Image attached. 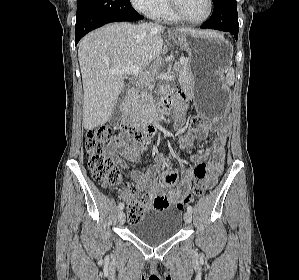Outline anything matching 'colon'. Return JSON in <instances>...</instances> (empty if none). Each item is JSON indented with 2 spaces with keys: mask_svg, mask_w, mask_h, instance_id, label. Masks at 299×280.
<instances>
[{
  "mask_svg": "<svg viewBox=\"0 0 299 280\" xmlns=\"http://www.w3.org/2000/svg\"><path fill=\"white\" fill-rule=\"evenodd\" d=\"M204 120L200 116H194L188 128V133H201L200 126ZM117 141V135L113 128L108 126L97 127L89 130L86 134V147L89 156V169L93 179L103 188L110 189L120 182V174L117 162L105 151L108 147ZM195 185L193 195L187 196L176 207L183 210L193 197H200L206 189H209L213 183L206 180L207 167L205 163H198L194 169ZM129 191L134 195V186H129ZM145 205L141 200L133 198L128 202L127 215L130 223H135L142 218L145 213Z\"/></svg>",
  "mask_w": 299,
  "mask_h": 280,
  "instance_id": "colon-1",
  "label": "colon"
}]
</instances>
